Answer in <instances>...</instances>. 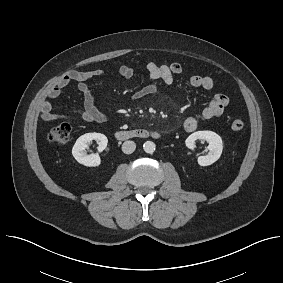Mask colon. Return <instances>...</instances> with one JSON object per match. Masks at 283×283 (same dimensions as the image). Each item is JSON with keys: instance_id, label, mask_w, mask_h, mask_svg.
Here are the masks:
<instances>
[{"instance_id": "obj_1", "label": "colon", "mask_w": 283, "mask_h": 283, "mask_svg": "<svg viewBox=\"0 0 283 283\" xmlns=\"http://www.w3.org/2000/svg\"><path fill=\"white\" fill-rule=\"evenodd\" d=\"M244 125V121L242 119L237 118L232 121L231 127L235 131H240L244 128ZM71 132V125L67 122H63L50 129L47 137L51 143L61 145L69 141Z\"/></svg>"}]
</instances>
